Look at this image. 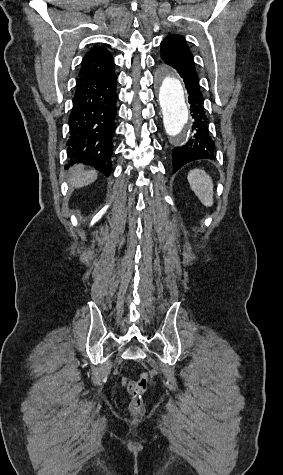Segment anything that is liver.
Returning <instances> with one entry per match:
<instances>
[{"label": "liver", "mask_w": 283, "mask_h": 475, "mask_svg": "<svg viewBox=\"0 0 283 475\" xmlns=\"http://www.w3.org/2000/svg\"><path fill=\"white\" fill-rule=\"evenodd\" d=\"M97 180L96 170H91V172H85L83 166H76L72 168V178L69 182L73 188H83V186H88Z\"/></svg>", "instance_id": "liver-1"}]
</instances>
